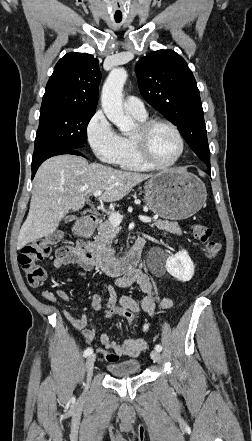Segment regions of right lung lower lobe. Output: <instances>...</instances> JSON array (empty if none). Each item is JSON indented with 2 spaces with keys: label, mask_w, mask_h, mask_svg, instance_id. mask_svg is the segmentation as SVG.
Segmentation results:
<instances>
[{
  "label": "right lung lower lobe",
  "mask_w": 252,
  "mask_h": 441,
  "mask_svg": "<svg viewBox=\"0 0 252 441\" xmlns=\"http://www.w3.org/2000/svg\"><path fill=\"white\" fill-rule=\"evenodd\" d=\"M62 154H72V155H81L84 156L82 153H80L78 150L76 149H70V150H63V151H59V152H55V153H51L49 155H47L46 157L42 158L41 160L37 161V162H32V178L35 176V173L38 169V167L48 158L52 157V156H56V155H62Z\"/></svg>",
  "instance_id": "98d812e1"
}]
</instances>
